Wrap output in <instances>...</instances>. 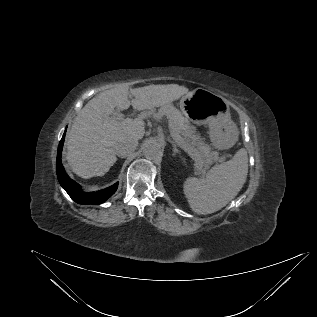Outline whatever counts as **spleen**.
Listing matches in <instances>:
<instances>
[{"label":"spleen","mask_w":317,"mask_h":317,"mask_svg":"<svg viewBox=\"0 0 317 317\" xmlns=\"http://www.w3.org/2000/svg\"><path fill=\"white\" fill-rule=\"evenodd\" d=\"M247 173L248 156L242 148L231 160L212 167L204 178H187L183 191L191 209L206 215L225 207L243 187Z\"/></svg>","instance_id":"3e777b00"}]
</instances>
